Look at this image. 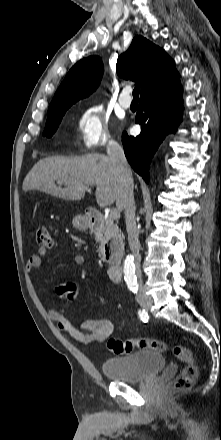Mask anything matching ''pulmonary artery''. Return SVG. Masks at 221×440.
<instances>
[{
	"instance_id": "e3ab8cb5",
	"label": "pulmonary artery",
	"mask_w": 221,
	"mask_h": 440,
	"mask_svg": "<svg viewBox=\"0 0 221 440\" xmlns=\"http://www.w3.org/2000/svg\"><path fill=\"white\" fill-rule=\"evenodd\" d=\"M131 102L130 89L124 88L119 97V103L123 108L127 109L131 106Z\"/></svg>"
}]
</instances>
